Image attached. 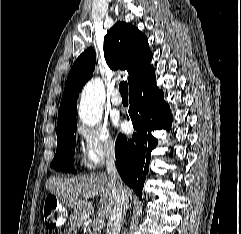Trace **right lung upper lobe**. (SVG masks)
Listing matches in <instances>:
<instances>
[{
	"label": "right lung upper lobe",
	"instance_id": "1",
	"mask_svg": "<svg viewBox=\"0 0 241 234\" xmlns=\"http://www.w3.org/2000/svg\"><path fill=\"white\" fill-rule=\"evenodd\" d=\"M104 54L112 70H127L129 89L146 78L154 68L147 37L131 24L117 22L105 35ZM96 54L84 51L72 66L58 112L57 131L76 125L77 98L84 84L93 76Z\"/></svg>",
	"mask_w": 241,
	"mask_h": 234
}]
</instances>
